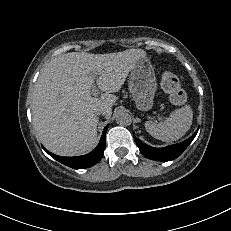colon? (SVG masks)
<instances>
[{"label": "colon", "mask_w": 231, "mask_h": 231, "mask_svg": "<svg viewBox=\"0 0 231 231\" xmlns=\"http://www.w3.org/2000/svg\"><path fill=\"white\" fill-rule=\"evenodd\" d=\"M160 85L169 99L177 105L186 103L187 96L177 75L171 71H165L161 76Z\"/></svg>", "instance_id": "5ec220e1"}]
</instances>
